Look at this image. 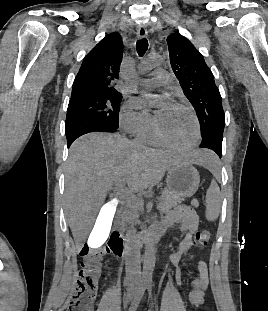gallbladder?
Here are the masks:
<instances>
[{
  "label": "gallbladder",
  "instance_id": "obj_1",
  "mask_svg": "<svg viewBox=\"0 0 268 311\" xmlns=\"http://www.w3.org/2000/svg\"><path fill=\"white\" fill-rule=\"evenodd\" d=\"M119 204V199H109L101 205L96 227H92V232H89V246L92 249L104 246V239H108V234H111V222L114 220Z\"/></svg>",
  "mask_w": 268,
  "mask_h": 311
}]
</instances>
